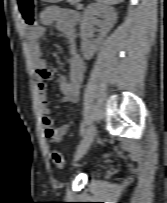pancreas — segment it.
<instances>
[{
	"label": "pancreas",
	"instance_id": "1",
	"mask_svg": "<svg viewBox=\"0 0 167 203\" xmlns=\"http://www.w3.org/2000/svg\"><path fill=\"white\" fill-rule=\"evenodd\" d=\"M71 5H75L78 9H81V6H79L80 0H67Z\"/></svg>",
	"mask_w": 167,
	"mask_h": 203
}]
</instances>
